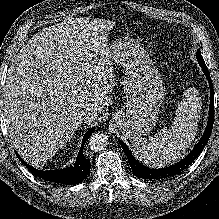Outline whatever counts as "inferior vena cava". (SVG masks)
I'll use <instances>...</instances> for the list:
<instances>
[{
	"instance_id": "1",
	"label": "inferior vena cava",
	"mask_w": 219,
	"mask_h": 219,
	"mask_svg": "<svg viewBox=\"0 0 219 219\" xmlns=\"http://www.w3.org/2000/svg\"><path fill=\"white\" fill-rule=\"evenodd\" d=\"M96 113L93 112L90 108H85L79 113V117L83 120L90 118V117H95Z\"/></svg>"
}]
</instances>
